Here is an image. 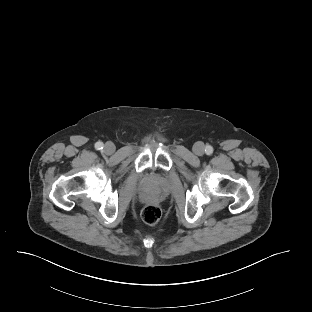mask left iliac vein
I'll return each mask as SVG.
<instances>
[{"instance_id": "left-iliac-vein-1", "label": "left iliac vein", "mask_w": 312, "mask_h": 312, "mask_svg": "<svg viewBox=\"0 0 312 312\" xmlns=\"http://www.w3.org/2000/svg\"><path fill=\"white\" fill-rule=\"evenodd\" d=\"M204 144L202 142H197L194 144L193 146V152L198 155L201 156L204 154Z\"/></svg>"}]
</instances>
